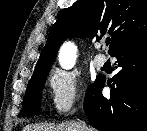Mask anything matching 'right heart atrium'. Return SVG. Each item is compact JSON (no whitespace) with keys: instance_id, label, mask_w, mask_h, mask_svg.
<instances>
[{"instance_id":"right-heart-atrium-1","label":"right heart atrium","mask_w":147,"mask_h":131,"mask_svg":"<svg viewBox=\"0 0 147 131\" xmlns=\"http://www.w3.org/2000/svg\"><path fill=\"white\" fill-rule=\"evenodd\" d=\"M52 105L58 115L69 113L78 103L82 93V81L74 71L54 69L48 78Z\"/></svg>"}]
</instances>
